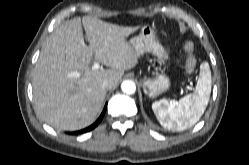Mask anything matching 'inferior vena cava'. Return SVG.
Returning a JSON list of instances; mask_svg holds the SVG:
<instances>
[{"label":"inferior vena cava","mask_w":249,"mask_h":165,"mask_svg":"<svg viewBox=\"0 0 249 165\" xmlns=\"http://www.w3.org/2000/svg\"><path fill=\"white\" fill-rule=\"evenodd\" d=\"M101 88L105 89V90H109L112 88V83L111 81L105 79L101 82L100 84Z\"/></svg>","instance_id":"obj_1"}]
</instances>
